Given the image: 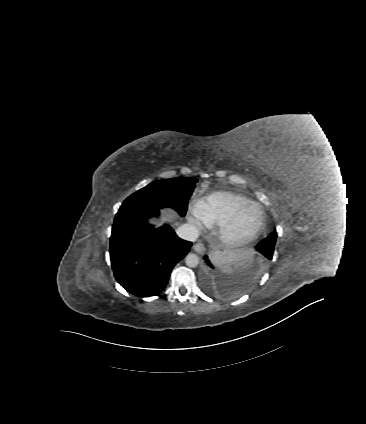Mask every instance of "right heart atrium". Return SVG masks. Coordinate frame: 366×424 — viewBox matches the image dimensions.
Wrapping results in <instances>:
<instances>
[{
	"label": "right heart atrium",
	"mask_w": 366,
	"mask_h": 424,
	"mask_svg": "<svg viewBox=\"0 0 366 424\" xmlns=\"http://www.w3.org/2000/svg\"><path fill=\"white\" fill-rule=\"evenodd\" d=\"M200 202H196L193 206L192 209V216H191V221L197 226V227H201L203 225V221L199 215V210H200Z\"/></svg>",
	"instance_id": "1"
}]
</instances>
